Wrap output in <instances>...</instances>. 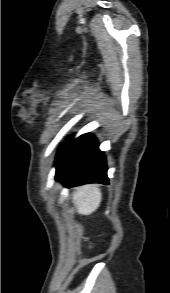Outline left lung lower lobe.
<instances>
[{
	"label": "left lung lower lobe",
	"mask_w": 170,
	"mask_h": 293,
	"mask_svg": "<svg viewBox=\"0 0 170 293\" xmlns=\"http://www.w3.org/2000/svg\"><path fill=\"white\" fill-rule=\"evenodd\" d=\"M55 178L67 188L108 184L106 159L93 135L87 133L68 143L56 160Z\"/></svg>",
	"instance_id": "left-lung-lower-lobe-1"
}]
</instances>
